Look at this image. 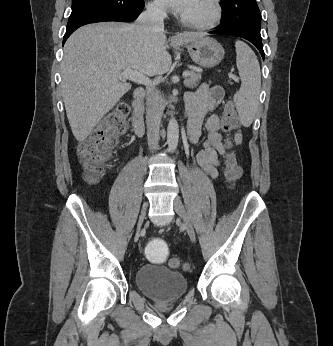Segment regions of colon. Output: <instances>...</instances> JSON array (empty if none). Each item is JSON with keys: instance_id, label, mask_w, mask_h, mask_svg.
Wrapping results in <instances>:
<instances>
[{"instance_id": "colon-1", "label": "colon", "mask_w": 333, "mask_h": 346, "mask_svg": "<svg viewBox=\"0 0 333 346\" xmlns=\"http://www.w3.org/2000/svg\"><path fill=\"white\" fill-rule=\"evenodd\" d=\"M129 112V104L120 102L106 115L91 137L78 145V157L89 182H95L103 175L111 152L117 144V137L125 130V119ZM238 125L237 112L233 105L229 104L223 114V128L225 131H232ZM227 145L230 146L231 142L228 141ZM224 175L229 182H236L241 177V167L234 153H228L226 156ZM149 241L143 246L146 260H150V264L162 266L165 260L170 259L168 244L161 240L160 235H150ZM169 265L178 268L180 263L177 259H171Z\"/></svg>"}]
</instances>
